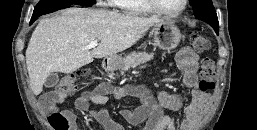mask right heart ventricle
<instances>
[{"instance_id": "obj_1", "label": "right heart ventricle", "mask_w": 257, "mask_h": 130, "mask_svg": "<svg viewBox=\"0 0 257 130\" xmlns=\"http://www.w3.org/2000/svg\"><path fill=\"white\" fill-rule=\"evenodd\" d=\"M113 2L114 6L127 15L143 16L154 13L147 5L146 0H113Z\"/></svg>"}]
</instances>
